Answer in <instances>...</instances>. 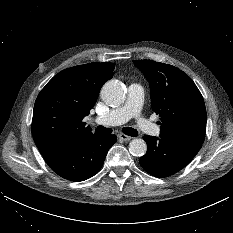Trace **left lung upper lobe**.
<instances>
[{"label": "left lung upper lobe", "instance_id": "obj_1", "mask_svg": "<svg viewBox=\"0 0 233 233\" xmlns=\"http://www.w3.org/2000/svg\"><path fill=\"white\" fill-rule=\"evenodd\" d=\"M147 78L151 105L161 117L160 137L202 144L206 132V108L192 79L180 69L152 60H134Z\"/></svg>", "mask_w": 233, "mask_h": 233}]
</instances>
